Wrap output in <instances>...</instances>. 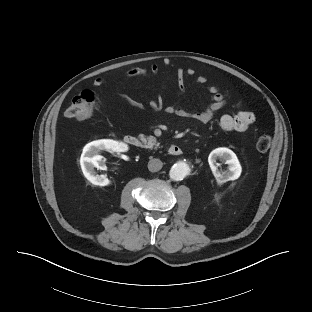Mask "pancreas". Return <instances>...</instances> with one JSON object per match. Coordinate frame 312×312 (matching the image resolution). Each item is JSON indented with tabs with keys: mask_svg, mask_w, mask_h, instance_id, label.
I'll list each match as a JSON object with an SVG mask.
<instances>
[{
	"mask_svg": "<svg viewBox=\"0 0 312 312\" xmlns=\"http://www.w3.org/2000/svg\"><path fill=\"white\" fill-rule=\"evenodd\" d=\"M140 138L143 141V143L145 144V147L152 148L153 146H155V148H158L160 145V143H158L156 141V138L153 136L145 138V136L143 134H141Z\"/></svg>",
	"mask_w": 312,
	"mask_h": 312,
	"instance_id": "obj_1",
	"label": "pancreas"
}]
</instances>
